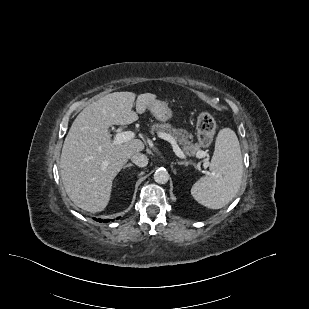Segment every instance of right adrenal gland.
<instances>
[{
  "label": "right adrenal gland",
  "mask_w": 309,
  "mask_h": 309,
  "mask_svg": "<svg viewBox=\"0 0 309 309\" xmlns=\"http://www.w3.org/2000/svg\"><path fill=\"white\" fill-rule=\"evenodd\" d=\"M134 165L132 163H128L126 165L123 166V169L127 168V167H133Z\"/></svg>",
  "instance_id": "right-adrenal-gland-1"
}]
</instances>
